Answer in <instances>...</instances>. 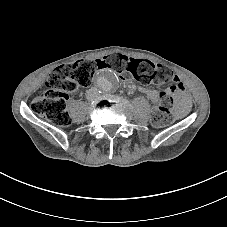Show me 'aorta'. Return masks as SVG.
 Here are the masks:
<instances>
[{"mask_svg": "<svg viewBox=\"0 0 227 227\" xmlns=\"http://www.w3.org/2000/svg\"><path fill=\"white\" fill-rule=\"evenodd\" d=\"M96 85L103 93H111L117 89L119 80L115 72L104 70L97 76Z\"/></svg>", "mask_w": 227, "mask_h": 227, "instance_id": "1", "label": "aorta"}]
</instances>
